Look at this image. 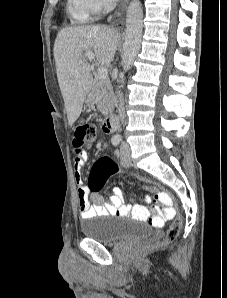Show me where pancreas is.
<instances>
[{
	"mask_svg": "<svg viewBox=\"0 0 227 298\" xmlns=\"http://www.w3.org/2000/svg\"><path fill=\"white\" fill-rule=\"evenodd\" d=\"M92 95L95 99V104L98 110L103 115H108L114 110L116 105V97L113 93L112 85L110 80L99 78L94 79Z\"/></svg>",
	"mask_w": 227,
	"mask_h": 298,
	"instance_id": "obj_1",
	"label": "pancreas"
}]
</instances>
